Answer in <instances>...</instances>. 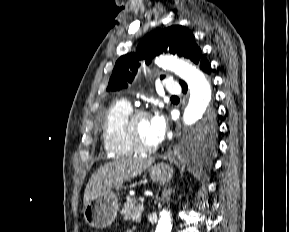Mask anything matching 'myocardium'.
Returning a JSON list of instances; mask_svg holds the SVG:
<instances>
[{"label": "myocardium", "mask_w": 289, "mask_h": 232, "mask_svg": "<svg viewBox=\"0 0 289 232\" xmlns=\"http://www.w3.org/2000/svg\"><path fill=\"white\" fill-rule=\"evenodd\" d=\"M149 113L143 109H132L126 116L123 123V134L129 145L137 153H153L158 149V145L146 146L142 144L135 133V122L141 117H147Z\"/></svg>", "instance_id": "f54148a6"}]
</instances>
